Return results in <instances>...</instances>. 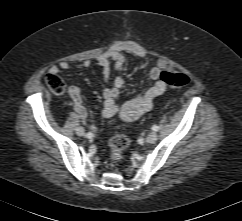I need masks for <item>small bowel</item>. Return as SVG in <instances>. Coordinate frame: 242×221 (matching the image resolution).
<instances>
[{
  "label": "small bowel",
  "instance_id": "obj_1",
  "mask_svg": "<svg viewBox=\"0 0 242 221\" xmlns=\"http://www.w3.org/2000/svg\"><path fill=\"white\" fill-rule=\"evenodd\" d=\"M124 53H131L137 57H146V50L139 44L130 41L119 42L111 49L100 55L97 62L102 70L104 82L107 83L110 79L111 69L114 66L116 71H120L125 64ZM91 65L90 60L79 62L76 67L85 69ZM73 66L67 61L60 62L57 66L50 68V73H58L59 70H70ZM161 70L158 67H152L148 71V77L153 81V84L141 95L128 99L122 103L117 101L120 90L124 85V79L121 76H116L113 84L103 91L104 107L102 115L109 119L113 116H118L123 121H135L143 114L150 111L153 107L154 99L162 95L167 90V85L160 80ZM69 95L72 99L75 111L83 123L90 126L91 130L95 131L96 127L90 122L88 112L84 106L81 90L77 86L69 88Z\"/></svg>",
  "mask_w": 242,
  "mask_h": 221
}]
</instances>
